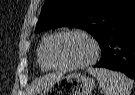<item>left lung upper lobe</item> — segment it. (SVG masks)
I'll return each mask as SVG.
<instances>
[{"instance_id": "1", "label": "left lung upper lobe", "mask_w": 135, "mask_h": 95, "mask_svg": "<svg viewBox=\"0 0 135 95\" xmlns=\"http://www.w3.org/2000/svg\"><path fill=\"white\" fill-rule=\"evenodd\" d=\"M135 17V0H46L35 32L70 26L86 30L101 46Z\"/></svg>"}]
</instances>
